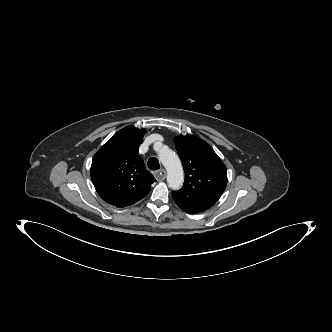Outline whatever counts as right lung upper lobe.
<instances>
[{"label":"right lung upper lobe","instance_id":"cb5924a9","mask_svg":"<svg viewBox=\"0 0 332 332\" xmlns=\"http://www.w3.org/2000/svg\"><path fill=\"white\" fill-rule=\"evenodd\" d=\"M145 133L144 129L125 127L94 155L91 179L105 202L120 208L132 205L145 197L156 181L138 155Z\"/></svg>","mask_w":332,"mask_h":332}]
</instances>
